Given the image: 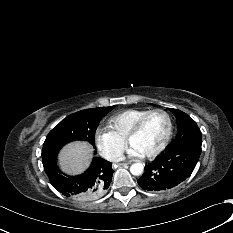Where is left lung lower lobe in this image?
Returning a JSON list of instances; mask_svg holds the SVG:
<instances>
[{"mask_svg":"<svg viewBox=\"0 0 233 233\" xmlns=\"http://www.w3.org/2000/svg\"><path fill=\"white\" fill-rule=\"evenodd\" d=\"M201 154L199 147H167L166 151L152 163L138 180L147 191L160 192L172 189L192 174Z\"/></svg>","mask_w":233,"mask_h":233,"instance_id":"obj_1","label":"left lung lower lobe"}]
</instances>
